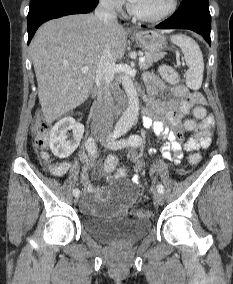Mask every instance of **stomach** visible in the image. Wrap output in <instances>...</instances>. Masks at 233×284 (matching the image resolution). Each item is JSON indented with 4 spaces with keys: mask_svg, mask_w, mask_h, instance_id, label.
<instances>
[{
    "mask_svg": "<svg viewBox=\"0 0 233 284\" xmlns=\"http://www.w3.org/2000/svg\"><path fill=\"white\" fill-rule=\"evenodd\" d=\"M138 44L148 52L157 53L165 49L166 37L154 30H141L134 33Z\"/></svg>",
    "mask_w": 233,
    "mask_h": 284,
    "instance_id": "1",
    "label": "stomach"
}]
</instances>
